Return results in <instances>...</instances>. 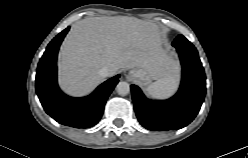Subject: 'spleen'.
Segmentation results:
<instances>
[{
    "label": "spleen",
    "instance_id": "spleen-1",
    "mask_svg": "<svg viewBox=\"0 0 248 158\" xmlns=\"http://www.w3.org/2000/svg\"><path fill=\"white\" fill-rule=\"evenodd\" d=\"M178 83L179 74L177 71H174L151 83L146 88V92L152 98L164 99L171 96L176 91Z\"/></svg>",
    "mask_w": 248,
    "mask_h": 158
}]
</instances>
